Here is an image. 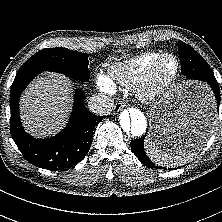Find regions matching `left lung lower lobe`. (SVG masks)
Returning <instances> with one entry per match:
<instances>
[{
  "label": "left lung lower lobe",
  "instance_id": "obj_1",
  "mask_svg": "<svg viewBox=\"0 0 222 222\" xmlns=\"http://www.w3.org/2000/svg\"><path fill=\"white\" fill-rule=\"evenodd\" d=\"M182 69L181 72L189 79L199 80L207 83L215 95L217 102V109L219 110L220 105V90L218 87V82L215 79L213 72H209L206 68L202 66L194 57L192 56H181L180 57ZM214 117V112L212 115L204 117L199 121L197 127L194 129H186L181 131L179 135L172 140V144L169 148L175 151L183 150L189 151L193 147L198 145V142L202 139L203 135L209 133L212 121ZM144 140L145 136L134 139L131 141V149L135 156L146 166L155 167V164L148 158L144 151Z\"/></svg>",
  "mask_w": 222,
  "mask_h": 222
}]
</instances>
